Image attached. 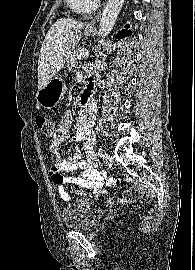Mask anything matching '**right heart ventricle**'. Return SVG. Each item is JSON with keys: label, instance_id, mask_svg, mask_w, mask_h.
Instances as JSON below:
<instances>
[{"label": "right heart ventricle", "instance_id": "obj_1", "mask_svg": "<svg viewBox=\"0 0 195 270\" xmlns=\"http://www.w3.org/2000/svg\"><path fill=\"white\" fill-rule=\"evenodd\" d=\"M70 8L77 14H88L96 6V0H68Z\"/></svg>", "mask_w": 195, "mask_h": 270}]
</instances>
